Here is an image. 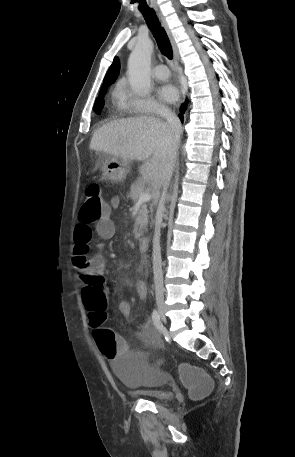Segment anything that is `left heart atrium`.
<instances>
[{
	"mask_svg": "<svg viewBox=\"0 0 295 457\" xmlns=\"http://www.w3.org/2000/svg\"><path fill=\"white\" fill-rule=\"evenodd\" d=\"M159 96L163 101L173 103L178 98V91L172 84H165L160 87Z\"/></svg>",
	"mask_w": 295,
	"mask_h": 457,
	"instance_id": "39dd6f15",
	"label": "left heart atrium"
}]
</instances>
